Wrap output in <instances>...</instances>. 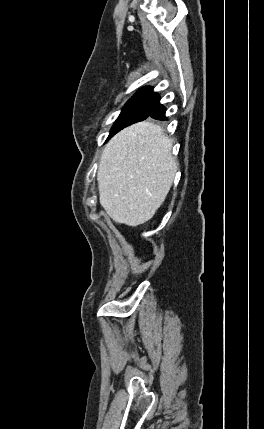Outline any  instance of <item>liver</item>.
<instances>
[{"instance_id":"6515ba94","label":"liver","mask_w":264,"mask_h":429,"mask_svg":"<svg viewBox=\"0 0 264 429\" xmlns=\"http://www.w3.org/2000/svg\"><path fill=\"white\" fill-rule=\"evenodd\" d=\"M172 140L143 121L117 133L102 153L97 182L101 206L113 221L138 226L164 202L177 172Z\"/></svg>"}]
</instances>
